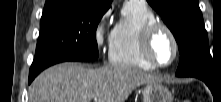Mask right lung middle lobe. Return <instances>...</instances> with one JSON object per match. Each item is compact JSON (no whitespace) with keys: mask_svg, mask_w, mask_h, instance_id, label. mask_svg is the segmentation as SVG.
<instances>
[{"mask_svg":"<svg viewBox=\"0 0 221 102\" xmlns=\"http://www.w3.org/2000/svg\"><path fill=\"white\" fill-rule=\"evenodd\" d=\"M108 9L77 4L74 7L43 11L29 75H38L59 62L96 60V29Z\"/></svg>","mask_w":221,"mask_h":102,"instance_id":"obj_1","label":"right lung middle lobe"}]
</instances>
